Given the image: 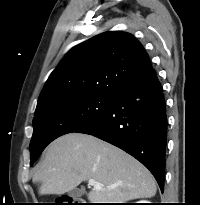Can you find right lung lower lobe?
I'll list each match as a JSON object with an SVG mask.
<instances>
[{
    "instance_id": "right-lung-lower-lobe-1",
    "label": "right lung lower lobe",
    "mask_w": 200,
    "mask_h": 205,
    "mask_svg": "<svg viewBox=\"0 0 200 205\" xmlns=\"http://www.w3.org/2000/svg\"><path fill=\"white\" fill-rule=\"evenodd\" d=\"M76 132L93 135L135 157L163 192L167 117L155 70L120 91L102 117Z\"/></svg>"
}]
</instances>
